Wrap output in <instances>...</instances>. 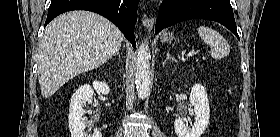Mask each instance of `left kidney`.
Masks as SVG:
<instances>
[{"mask_svg":"<svg viewBox=\"0 0 280 137\" xmlns=\"http://www.w3.org/2000/svg\"><path fill=\"white\" fill-rule=\"evenodd\" d=\"M190 103L194 107L195 120L191 126L185 123V118H178L174 122L177 137H201L210 120L209 100L205 88L195 84L190 93Z\"/></svg>","mask_w":280,"mask_h":137,"instance_id":"5707ae66","label":"left kidney"}]
</instances>
